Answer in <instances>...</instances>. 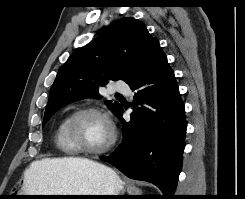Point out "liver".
I'll return each mask as SVG.
<instances>
[{
  "label": "liver",
  "instance_id": "6515ba94",
  "mask_svg": "<svg viewBox=\"0 0 245 199\" xmlns=\"http://www.w3.org/2000/svg\"><path fill=\"white\" fill-rule=\"evenodd\" d=\"M98 165L97 162L86 158L64 157L44 158L34 161L24 173V186L31 192H47L49 177L54 174H68L77 168Z\"/></svg>",
  "mask_w": 245,
  "mask_h": 199
}]
</instances>
